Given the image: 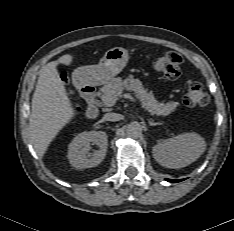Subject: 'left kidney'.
<instances>
[{"instance_id":"1","label":"left kidney","mask_w":234,"mask_h":231,"mask_svg":"<svg viewBox=\"0 0 234 231\" xmlns=\"http://www.w3.org/2000/svg\"><path fill=\"white\" fill-rule=\"evenodd\" d=\"M205 140L196 133H184L163 140L153 147L155 160L166 168H183L205 151Z\"/></svg>"}]
</instances>
